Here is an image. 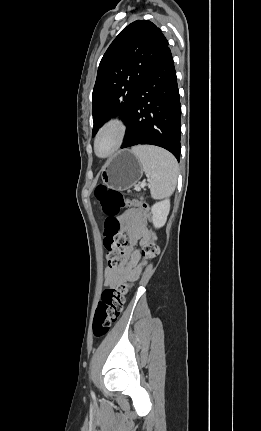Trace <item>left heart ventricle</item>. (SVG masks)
Here are the masks:
<instances>
[{
    "mask_svg": "<svg viewBox=\"0 0 261 431\" xmlns=\"http://www.w3.org/2000/svg\"><path fill=\"white\" fill-rule=\"evenodd\" d=\"M113 144V135L106 133L103 135L98 142V152L101 154L106 153Z\"/></svg>",
    "mask_w": 261,
    "mask_h": 431,
    "instance_id": "1",
    "label": "left heart ventricle"
}]
</instances>
